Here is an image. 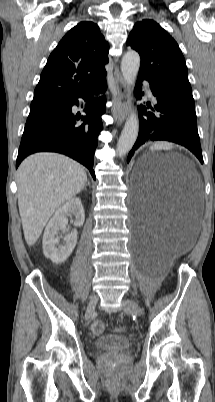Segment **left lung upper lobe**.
Segmentation results:
<instances>
[{"instance_id":"obj_1","label":"left lung upper lobe","mask_w":215,"mask_h":402,"mask_svg":"<svg viewBox=\"0 0 215 402\" xmlns=\"http://www.w3.org/2000/svg\"><path fill=\"white\" fill-rule=\"evenodd\" d=\"M127 45L141 57L140 76L169 95L195 105L184 56L176 41L158 23L150 19L137 22Z\"/></svg>"}]
</instances>
